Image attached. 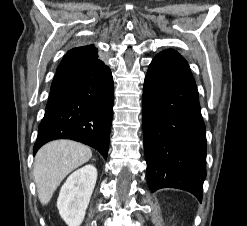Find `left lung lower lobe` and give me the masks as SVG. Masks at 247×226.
<instances>
[{"label":"left lung lower lobe","mask_w":247,"mask_h":226,"mask_svg":"<svg viewBox=\"0 0 247 226\" xmlns=\"http://www.w3.org/2000/svg\"><path fill=\"white\" fill-rule=\"evenodd\" d=\"M143 134L151 191L178 188L201 201L206 177L205 125L188 63L174 50L159 53L146 74Z\"/></svg>","instance_id":"0a47b994"}]
</instances>
